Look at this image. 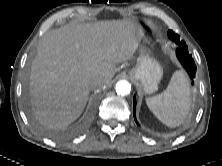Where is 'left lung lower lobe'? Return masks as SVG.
Masks as SVG:
<instances>
[{"instance_id": "0a47b994", "label": "left lung lower lobe", "mask_w": 222, "mask_h": 166, "mask_svg": "<svg viewBox=\"0 0 222 166\" xmlns=\"http://www.w3.org/2000/svg\"><path fill=\"white\" fill-rule=\"evenodd\" d=\"M177 45H178V48L176 49V55L179 61L181 62V64L183 65V67L185 68V70L187 71V73L189 74L190 79L192 80L196 73L194 60L192 56L189 54L187 50V45L185 43L184 44L178 43ZM135 108H136V99L134 97L133 115L136 121Z\"/></svg>"}]
</instances>
